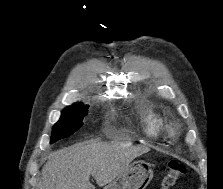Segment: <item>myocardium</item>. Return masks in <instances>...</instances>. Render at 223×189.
Segmentation results:
<instances>
[{
    "instance_id": "myocardium-1",
    "label": "myocardium",
    "mask_w": 223,
    "mask_h": 189,
    "mask_svg": "<svg viewBox=\"0 0 223 189\" xmlns=\"http://www.w3.org/2000/svg\"><path fill=\"white\" fill-rule=\"evenodd\" d=\"M170 133H171L172 135L176 134V133H177V127H176V126H171V127H170Z\"/></svg>"
}]
</instances>
